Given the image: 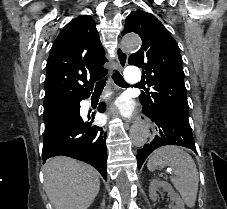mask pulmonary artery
<instances>
[{
  "label": "pulmonary artery",
  "instance_id": "obj_1",
  "mask_svg": "<svg viewBox=\"0 0 227 209\" xmlns=\"http://www.w3.org/2000/svg\"><path fill=\"white\" fill-rule=\"evenodd\" d=\"M123 78H126V83H142V73L137 66H127ZM88 101H92V98H88Z\"/></svg>",
  "mask_w": 227,
  "mask_h": 209
}]
</instances>
